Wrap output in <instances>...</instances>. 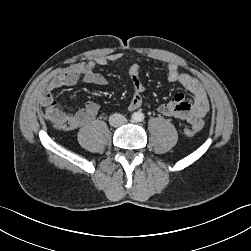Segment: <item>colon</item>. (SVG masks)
I'll return each instance as SVG.
<instances>
[{
    "instance_id": "1",
    "label": "colon",
    "mask_w": 251,
    "mask_h": 251,
    "mask_svg": "<svg viewBox=\"0 0 251 251\" xmlns=\"http://www.w3.org/2000/svg\"><path fill=\"white\" fill-rule=\"evenodd\" d=\"M40 113L47 116L59 129L71 130L75 128V114L64 111L55 104L50 106L42 105ZM184 132L187 136L191 137L194 135L195 129L193 127H187Z\"/></svg>"
}]
</instances>
